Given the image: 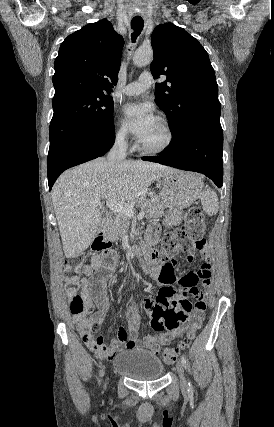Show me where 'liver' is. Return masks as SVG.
Returning <instances> with one entry per match:
<instances>
[{
	"mask_svg": "<svg viewBox=\"0 0 274 427\" xmlns=\"http://www.w3.org/2000/svg\"><path fill=\"white\" fill-rule=\"evenodd\" d=\"M174 172L142 160L108 164L106 158H97L61 174L53 186L52 204L65 257H75L92 243L102 221L101 200L133 202L153 182Z\"/></svg>",
	"mask_w": 274,
	"mask_h": 427,
	"instance_id": "1",
	"label": "liver"
}]
</instances>
